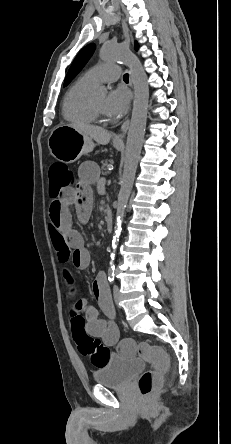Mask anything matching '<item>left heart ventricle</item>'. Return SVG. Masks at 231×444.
Listing matches in <instances>:
<instances>
[{"label": "left heart ventricle", "mask_w": 231, "mask_h": 444, "mask_svg": "<svg viewBox=\"0 0 231 444\" xmlns=\"http://www.w3.org/2000/svg\"><path fill=\"white\" fill-rule=\"evenodd\" d=\"M105 101H106L105 96H101V97H98V98L93 99V103H94V105L96 106V108H97L100 112H102L104 115L106 114V113H105V110H104V107H105Z\"/></svg>", "instance_id": "b2bd125f"}]
</instances>
